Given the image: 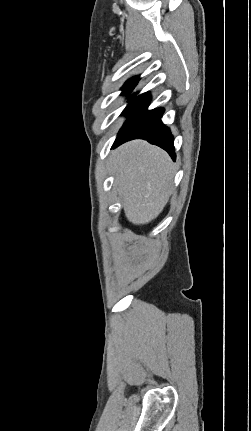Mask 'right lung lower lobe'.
<instances>
[{
	"label": "right lung lower lobe",
	"instance_id": "98d812e1",
	"mask_svg": "<svg viewBox=\"0 0 251 431\" xmlns=\"http://www.w3.org/2000/svg\"><path fill=\"white\" fill-rule=\"evenodd\" d=\"M149 103L150 94L148 92L129 99V104L124 112H129L130 116L119 131L113 147L132 139H144L166 150L175 160L173 136L160 120L164 109L149 111L147 110Z\"/></svg>",
	"mask_w": 251,
	"mask_h": 431
}]
</instances>
